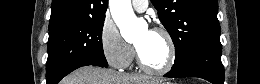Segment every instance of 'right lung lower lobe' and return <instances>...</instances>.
<instances>
[{
    "mask_svg": "<svg viewBox=\"0 0 260 84\" xmlns=\"http://www.w3.org/2000/svg\"><path fill=\"white\" fill-rule=\"evenodd\" d=\"M87 65H89V64H87ZM87 65H82V66H87ZM82 66H80V67H82ZM77 68H79V67H77ZM77 68H75V69H77ZM75 69L70 70V71L67 72L64 76H66L68 73H70L71 71H73V70H75Z\"/></svg>",
    "mask_w": 260,
    "mask_h": 84,
    "instance_id": "1",
    "label": "right lung lower lobe"
}]
</instances>
